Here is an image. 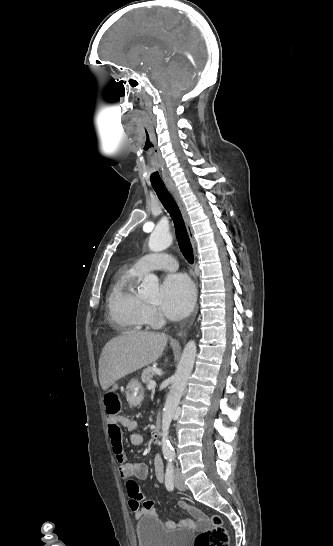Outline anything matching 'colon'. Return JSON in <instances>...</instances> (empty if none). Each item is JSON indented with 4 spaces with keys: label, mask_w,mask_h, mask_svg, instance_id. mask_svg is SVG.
<instances>
[{
    "label": "colon",
    "mask_w": 333,
    "mask_h": 546,
    "mask_svg": "<svg viewBox=\"0 0 333 546\" xmlns=\"http://www.w3.org/2000/svg\"><path fill=\"white\" fill-rule=\"evenodd\" d=\"M105 407L110 418H117L121 411L119 395L112 392L106 394ZM181 506L187 507L184 503ZM194 546H228V534L219 516L211 518L210 526L196 536Z\"/></svg>",
    "instance_id": "5ec220e1"
}]
</instances>
